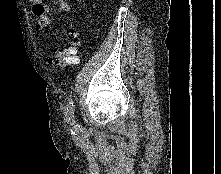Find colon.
Masks as SVG:
<instances>
[{
  "instance_id": "1",
  "label": "colon",
  "mask_w": 221,
  "mask_h": 174,
  "mask_svg": "<svg viewBox=\"0 0 221 174\" xmlns=\"http://www.w3.org/2000/svg\"><path fill=\"white\" fill-rule=\"evenodd\" d=\"M70 34L75 35V32L72 30ZM77 52V44L71 43L66 45L64 48L56 50L50 61L52 64L61 67L73 66L79 62Z\"/></svg>"
}]
</instances>
